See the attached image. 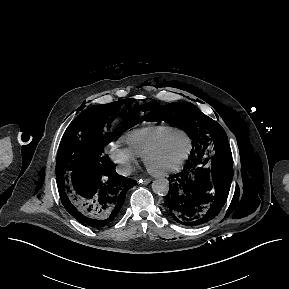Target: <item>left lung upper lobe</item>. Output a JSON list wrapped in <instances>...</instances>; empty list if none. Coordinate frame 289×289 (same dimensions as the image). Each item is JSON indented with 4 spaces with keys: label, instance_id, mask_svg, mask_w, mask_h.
<instances>
[{
    "label": "left lung upper lobe",
    "instance_id": "left-lung-upper-lobe-1",
    "mask_svg": "<svg viewBox=\"0 0 289 289\" xmlns=\"http://www.w3.org/2000/svg\"><path fill=\"white\" fill-rule=\"evenodd\" d=\"M145 120L149 122L165 121L179 124L191 137L193 149L191 157L207 158L219 168L232 166L231 149L223 128L210 117L203 114L190 103H169L159 105L154 102L144 104Z\"/></svg>",
    "mask_w": 289,
    "mask_h": 289
}]
</instances>
